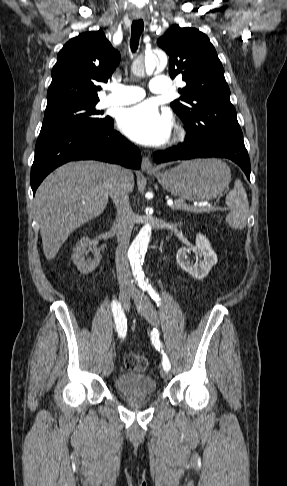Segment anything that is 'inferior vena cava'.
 Listing matches in <instances>:
<instances>
[{
	"instance_id": "1",
	"label": "inferior vena cava",
	"mask_w": 287,
	"mask_h": 486,
	"mask_svg": "<svg viewBox=\"0 0 287 486\" xmlns=\"http://www.w3.org/2000/svg\"><path fill=\"white\" fill-rule=\"evenodd\" d=\"M128 171L118 166H113L109 186V195L117 208L115 226L118 246L116 249V271L121 289L133 291L135 286L131 279L127 250L131 232L134 226V213L129 203L127 189Z\"/></svg>"
}]
</instances>
